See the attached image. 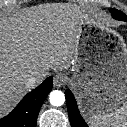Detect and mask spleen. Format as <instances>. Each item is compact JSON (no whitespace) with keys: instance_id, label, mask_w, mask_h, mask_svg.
Listing matches in <instances>:
<instances>
[{"instance_id":"1","label":"spleen","mask_w":127,"mask_h":127,"mask_svg":"<svg viewBox=\"0 0 127 127\" xmlns=\"http://www.w3.org/2000/svg\"><path fill=\"white\" fill-rule=\"evenodd\" d=\"M90 124L91 127H127V101L110 112L92 115Z\"/></svg>"}]
</instances>
